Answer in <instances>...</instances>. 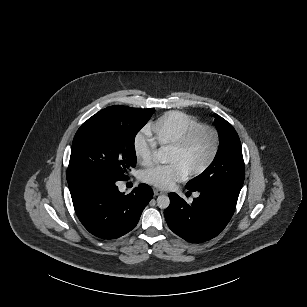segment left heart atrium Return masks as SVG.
I'll list each match as a JSON object with an SVG mask.
<instances>
[{
    "label": "left heart atrium",
    "mask_w": 307,
    "mask_h": 307,
    "mask_svg": "<svg viewBox=\"0 0 307 307\" xmlns=\"http://www.w3.org/2000/svg\"><path fill=\"white\" fill-rule=\"evenodd\" d=\"M187 176L186 170L177 163L157 164L141 173V178L158 188H168L176 181H182Z\"/></svg>",
    "instance_id": "obj_1"
}]
</instances>
